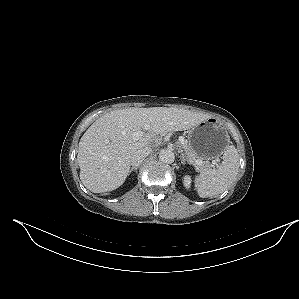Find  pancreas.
I'll return each instance as SVG.
<instances>
[{
    "label": "pancreas",
    "mask_w": 299,
    "mask_h": 299,
    "mask_svg": "<svg viewBox=\"0 0 299 299\" xmlns=\"http://www.w3.org/2000/svg\"><path fill=\"white\" fill-rule=\"evenodd\" d=\"M185 150V154L188 160H190L192 163L195 160H201L199 156L192 150L190 145L186 142L185 146L183 147Z\"/></svg>",
    "instance_id": "1"
}]
</instances>
